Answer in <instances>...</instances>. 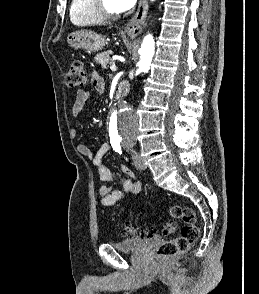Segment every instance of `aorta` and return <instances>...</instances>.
I'll use <instances>...</instances> for the list:
<instances>
[{"mask_svg":"<svg viewBox=\"0 0 259 294\" xmlns=\"http://www.w3.org/2000/svg\"><path fill=\"white\" fill-rule=\"evenodd\" d=\"M154 1V0H152ZM155 43L153 36L144 37L140 52L139 71L147 73L154 55ZM139 116L125 104H119L110 113L108 133L110 138L121 142H134L138 134Z\"/></svg>","mask_w":259,"mask_h":294,"instance_id":"aorta-1","label":"aorta"}]
</instances>
